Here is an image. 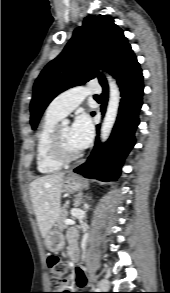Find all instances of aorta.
Segmentation results:
<instances>
[{
  "label": "aorta",
  "instance_id": "aorta-1",
  "mask_svg": "<svg viewBox=\"0 0 170 293\" xmlns=\"http://www.w3.org/2000/svg\"><path fill=\"white\" fill-rule=\"evenodd\" d=\"M106 78L109 84V101L105 117L101 126L102 142H105L110 136V133L117 118L118 109L120 105V90L118 85L116 84V81L108 74H106Z\"/></svg>",
  "mask_w": 170,
  "mask_h": 293
}]
</instances>
